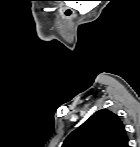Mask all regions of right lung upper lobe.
Here are the masks:
<instances>
[{
    "label": "right lung upper lobe",
    "mask_w": 140,
    "mask_h": 147,
    "mask_svg": "<svg viewBox=\"0 0 140 147\" xmlns=\"http://www.w3.org/2000/svg\"><path fill=\"white\" fill-rule=\"evenodd\" d=\"M62 147H128V137L119 116L102 109L74 130Z\"/></svg>",
    "instance_id": "obj_1"
}]
</instances>
